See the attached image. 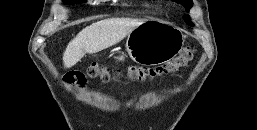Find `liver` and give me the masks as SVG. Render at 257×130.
<instances>
[{
  "label": "liver",
  "instance_id": "obj_1",
  "mask_svg": "<svg viewBox=\"0 0 257 130\" xmlns=\"http://www.w3.org/2000/svg\"><path fill=\"white\" fill-rule=\"evenodd\" d=\"M145 19H104L81 30L67 45L63 53L64 67L70 68L82 59L85 53L94 54L124 39Z\"/></svg>",
  "mask_w": 257,
  "mask_h": 130
}]
</instances>
